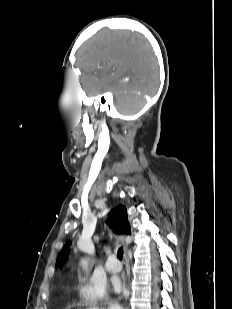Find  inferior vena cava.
<instances>
[{
  "instance_id": "obj_1",
  "label": "inferior vena cava",
  "mask_w": 232,
  "mask_h": 309,
  "mask_svg": "<svg viewBox=\"0 0 232 309\" xmlns=\"http://www.w3.org/2000/svg\"><path fill=\"white\" fill-rule=\"evenodd\" d=\"M108 309H121V308L118 306H110Z\"/></svg>"
}]
</instances>
